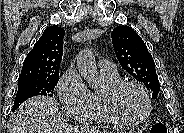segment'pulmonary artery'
<instances>
[{
	"instance_id": "1",
	"label": "pulmonary artery",
	"mask_w": 184,
	"mask_h": 133,
	"mask_svg": "<svg viewBox=\"0 0 184 133\" xmlns=\"http://www.w3.org/2000/svg\"><path fill=\"white\" fill-rule=\"evenodd\" d=\"M100 70L110 74H117L116 66L109 60H101L99 62Z\"/></svg>"
}]
</instances>
